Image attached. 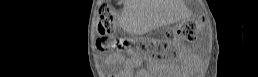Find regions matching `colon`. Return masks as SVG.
<instances>
[{
	"label": "colon",
	"instance_id": "colon-1",
	"mask_svg": "<svg viewBox=\"0 0 258 77\" xmlns=\"http://www.w3.org/2000/svg\"><path fill=\"white\" fill-rule=\"evenodd\" d=\"M118 27L116 14L109 7L102 6L98 10V45L105 47L114 37ZM197 34L196 23L191 20L184 21L179 27L169 33L172 39H194Z\"/></svg>",
	"mask_w": 258,
	"mask_h": 77
}]
</instances>
